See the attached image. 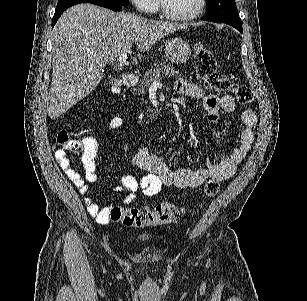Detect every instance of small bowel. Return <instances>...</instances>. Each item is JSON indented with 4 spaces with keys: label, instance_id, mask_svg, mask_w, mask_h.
<instances>
[{
    "label": "small bowel",
    "instance_id": "1",
    "mask_svg": "<svg viewBox=\"0 0 307 301\" xmlns=\"http://www.w3.org/2000/svg\"><path fill=\"white\" fill-rule=\"evenodd\" d=\"M175 90L187 97L201 99L202 108L208 119L217 124L221 112H233L236 109L235 98L231 95L218 97L205 94L204 89L197 84L179 79L175 83ZM242 122L244 128L240 133L239 146L232 155L220 162L206 160L205 165L198 169L170 168L157 154L146 148H140L132 157V162L147 174L138 180L130 174H124L120 178V184L115 186L113 192H125V203L132 202L136 195L141 192L147 197L158 194L163 187H174L179 189L196 188L202 185L207 179L224 181L237 171L238 166L247 158L255 140V129L257 117L255 112L246 108L242 112ZM121 125V119L115 117L110 126L113 128ZM83 155L82 163L84 167V178L72 167L69 158L63 150L55 152V159L67 178L77 187L86 210L99 224H107L110 219L111 207L100 208L92 199L88 183L97 180L96 158L98 154V141L93 136L82 138Z\"/></svg>",
    "mask_w": 307,
    "mask_h": 301
}]
</instances>
